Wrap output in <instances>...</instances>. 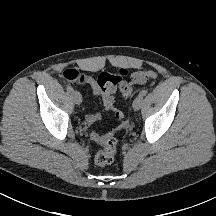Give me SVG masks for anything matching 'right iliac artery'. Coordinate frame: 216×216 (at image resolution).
Returning <instances> with one entry per match:
<instances>
[{
	"mask_svg": "<svg viewBox=\"0 0 216 216\" xmlns=\"http://www.w3.org/2000/svg\"><path fill=\"white\" fill-rule=\"evenodd\" d=\"M67 91H68L69 93H72V92H73V88H72L71 86H67Z\"/></svg>",
	"mask_w": 216,
	"mask_h": 216,
	"instance_id": "obj_1",
	"label": "right iliac artery"
}]
</instances>
